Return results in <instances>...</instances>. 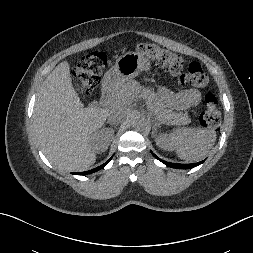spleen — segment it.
Wrapping results in <instances>:
<instances>
[{
    "label": "spleen",
    "mask_w": 253,
    "mask_h": 253,
    "mask_svg": "<svg viewBox=\"0 0 253 253\" xmlns=\"http://www.w3.org/2000/svg\"><path fill=\"white\" fill-rule=\"evenodd\" d=\"M216 141V131L204 128H177L169 134L171 147L187 162L205 156Z\"/></svg>",
    "instance_id": "1"
}]
</instances>
